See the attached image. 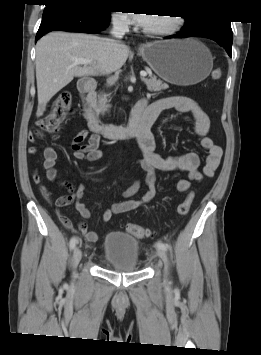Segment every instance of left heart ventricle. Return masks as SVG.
<instances>
[{
	"label": "left heart ventricle",
	"instance_id": "obj_1",
	"mask_svg": "<svg viewBox=\"0 0 261 355\" xmlns=\"http://www.w3.org/2000/svg\"><path fill=\"white\" fill-rule=\"evenodd\" d=\"M172 23V16L157 15L150 16L147 24L144 26L146 29H159L169 26Z\"/></svg>",
	"mask_w": 261,
	"mask_h": 355
}]
</instances>
